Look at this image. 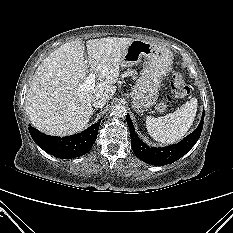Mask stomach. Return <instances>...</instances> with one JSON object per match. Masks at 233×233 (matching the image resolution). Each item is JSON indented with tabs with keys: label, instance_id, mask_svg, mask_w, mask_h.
<instances>
[{
	"label": "stomach",
	"instance_id": "0dacf381",
	"mask_svg": "<svg viewBox=\"0 0 233 233\" xmlns=\"http://www.w3.org/2000/svg\"><path fill=\"white\" fill-rule=\"evenodd\" d=\"M141 58H145L147 62L131 92L137 113H143L156 104L161 81L171 67L173 56L164 46L135 39L124 51L121 66H132L140 62Z\"/></svg>",
	"mask_w": 233,
	"mask_h": 233
}]
</instances>
